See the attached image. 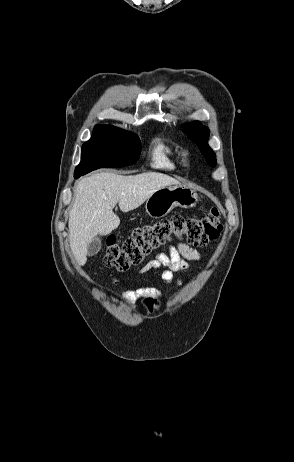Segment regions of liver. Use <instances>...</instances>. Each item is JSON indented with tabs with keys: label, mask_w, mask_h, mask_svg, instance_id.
Returning <instances> with one entry per match:
<instances>
[{
	"label": "liver",
	"mask_w": 294,
	"mask_h": 462,
	"mask_svg": "<svg viewBox=\"0 0 294 462\" xmlns=\"http://www.w3.org/2000/svg\"><path fill=\"white\" fill-rule=\"evenodd\" d=\"M179 184L178 180L156 172L131 176L100 172L82 178L76 187L68 223L70 247L79 265L86 263L88 245L94 237L107 235L119 226L120 219L113 212L117 203L122 212H129L158 189Z\"/></svg>",
	"instance_id": "liver-1"
}]
</instances>
